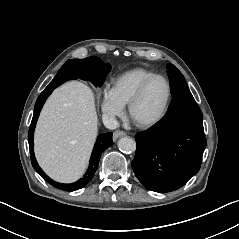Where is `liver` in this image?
I'll return each instance as SVG.
<instances>
[{
  "mask_svg": "<svg viewBox=\"0 0 239 239\" xmlns=\"http://www.w3.org/2000/svg\"><path fill=\"white\" fill-rule=\"evenodd\" d=\"M97 123L94 94L87 85L69 81L55 89L34 134L35 156L44 172L58 182L77 181L88 166Z\"/></svg>",
  "mask_w": 239,
  "mask_h": 239,
  "instance_id": "obj_1",
  "label": "liver"
}]
</instances>
